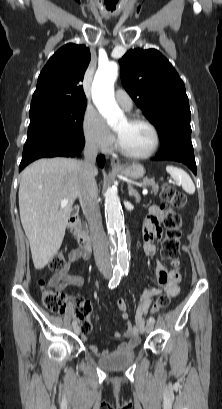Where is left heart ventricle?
<instances>
[{
  "label": "left heart ventricle",
  "mask_w": 222,
  "mask_h": 409,
  "mask_svg": "<svg viewBox=\"0 0 222 409\" xmlns=\"http://www.w3.org/2000/svg\"><path fill=\"white\" fill-rule=\"evenodd\" d=\"M113 130L122 147L131 153H145L153 145V133L145 124L130 123L124 119L114 126Z\"/></svg>",
  "instance_id": "b2bd125f"
}]
</instances>
